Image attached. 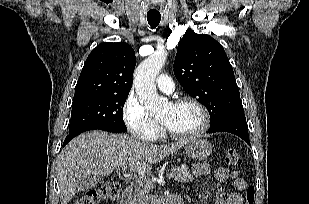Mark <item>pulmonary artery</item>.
I'll list each match as a JSON object with an SVG mask.
<instances>
[{
    "mask_svg": "<svg viewBox=\"0 0 309 204\" xmlns=\"http://www.w3.org/2000/svg\"><path fill=\"white\" fill-rule=\"evenodd\" d=\"M156 86L165 93H171L174 90V82L166 74H162L156 79Z\"/></svg>",
    "mask_w": 309,
    "mask_h": 204,
    "instance_id": "1",
    "label": "pulmonary artery"
}]
</instances>
